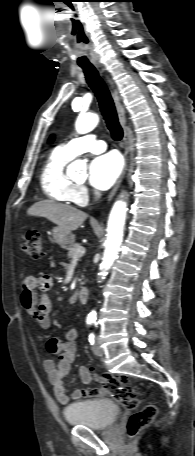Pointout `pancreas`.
Masks as SVG:
<instances>
[{"label":"pancreas","mask_w":195,"mask_h":456,"mask_svg":"<svg viewBox=\"0 0 195 456\" xmlns=\"http://www.w3.org/2000/svg\"><path fill=\"white\" fill-rule=\"evenodd\" d=\"M81 245L78 244V243H75L71 248H69L68 250V257L70 259H74L75 257H77V249L80 247Z\"/></svg>","instance_id":"pancreas-1"}]
</instances>
